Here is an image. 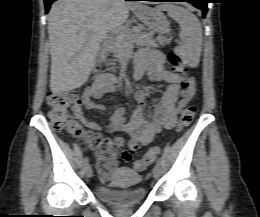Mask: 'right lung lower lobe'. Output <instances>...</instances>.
<instances>
[{
    "mask_svg": "<svg viewBox=\"0 0 260 217\" xmlns=\"http://www.w3.org/2000/svg\"><path fill=\"white\" fill-rule=\"evenodd\" d=\"M56 0H44L45 2V11L46 13H48L50 5ZM125 1H130V0H125Z\"/></svg>",
    "mask_w": 260,
    "mask_h": 217,
    "instance_id": "1",
    "label": "right lung lower lobe"
}]
</instances>
